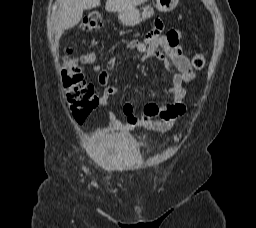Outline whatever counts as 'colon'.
<instances>
[{"mask_svg":"<svg viewBox=\"0 0 256 228\" xmlns=\"http://www.w3.org/2000/svg\"><path fill=\"white\" fill-rule=\"evenodd\" d=\"M103 25L104 20L101 13L90 11L82 20L81 30L87 34L99 31ZM84 42H86V39H84ZM89 43L94 44L95 40L92 39ZM72 53L73 49L67 48L66 55L63 57L62 83L71 113L74 119L81 123L98 107L100 100L95 87L85 80L79 60ZM81 61L86 64L91 63L92 55H84ZM191 65L194 69H202L205 65L204 55L195 54L191 56Z\"/></svg>","mask_w":256,"mask_h":228,"instance_id":"obj_1","label":"colon"}]
</instances>
